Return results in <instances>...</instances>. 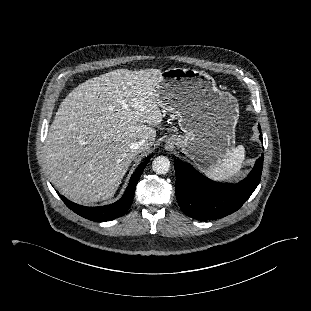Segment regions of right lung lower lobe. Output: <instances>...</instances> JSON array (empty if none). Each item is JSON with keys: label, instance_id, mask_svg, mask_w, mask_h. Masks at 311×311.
Returning <instances> with one entry per match:
<instances>
[{"label": "right lung lower lobe", "instance_id": "obj_1", "mask_svg": "<svg viewBox=\"0 0 311 311\" xmlns=\"http://www.w3.org/2000/svg\"><path fill=\"white\" fill-rule=\"evenodd\" d=\"M149 160L150 158L146 159L138 166V168L131 176L124 195L120 200L113 204L100 207H85L69 201L67 198L60 194L59 196L69 209L86 219L96 222L113 220L124 215L130 208L134 198L136 184Z\"/></svg>", "mask_w": 311, "mask_h": 311}]
</instances>
